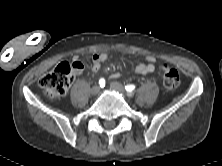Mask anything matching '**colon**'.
<instances>
[{
	"label": "colon",
	"mask_w": 222,
	"mask_h": 166,
	"mask_svg": "<svg viewBox=\"0 0 222 166\" xmlns=\"http://www.w3.org/2000/svg\"><path fill=\"white\" fill-rule=\"evenodd\" d=\"M82 68L79 63L61 62L53 70L44 74L38 81L39 86L52 98L63 96L75 76V71ZM163 85L168 90H174L180 85V75L177 69L163 64L161 67Z\"/></svg>",
	"instance_id": "1"
}]
</instances>
